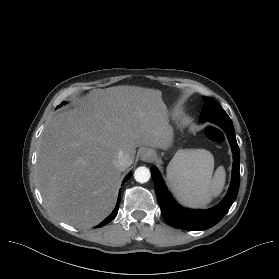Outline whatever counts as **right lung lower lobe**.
Masks as SVG:
<instances>
[{
  "label": "right lung lower lobe",
  "mask_w": 279,
  "mask_h": 279,
  "mask_svg": "<svg viewBox=\"0 0 279 279\" xmlns=\"http://www.w3.org/2000/svg\"><path fill=\"white\" fill-rule=\"evenodd\" d=\"M131 174H128L125 179L123 180V183L126 182L129 178H130ZM120 196H121V193H119V196H118V201H117V205L114 209V211L104 220L102 221L98 226L96 227H102L104 225H106L107 223H109L112 219H114V217L117 215L118 213V209H119V203H120Z\"/></svg>",
  "instance_id": "right-lung-lower-lobe-1"
}]
</instances>
